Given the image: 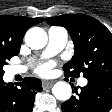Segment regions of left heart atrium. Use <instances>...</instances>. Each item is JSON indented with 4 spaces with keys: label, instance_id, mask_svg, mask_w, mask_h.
I'll list each match as a JSON object with an SVG mask.
<instances>
[{
    "label": "left heart atrium",
    "instance_id": "39dd6f15",
    "mask_svg": "<svg viewBox=\"0 0 112 112\" xmlns=\"http://www.w3.org/2000/svg\"><path fill=\"white\" fill-rule=\"evenodd\" d=\"M54 66H55L54 61H52V60L44 61V62L39 63L36 66L35 71L37 74H39L41 76H45V75L50 74V72L52 71Z\"/></svg>",
    "mask_w": 112,
    "mask_h": 112
}]
</instances>
